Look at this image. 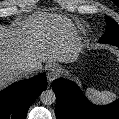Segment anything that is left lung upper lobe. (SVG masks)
Segmentation results:
<instances>
[{"label": "left lung upper lobe", "instance_id": "left-lung-upper-lobe-1", "mask_svg": "<svg viewBox=\"0 0 119 119\" xmlns=\"http://www.w3.org/2000/svg\"><path fill=\"white\" fill-rule=\"evenodd\" d=\"M105 19L107 24V30L99 41L102 43H110V44H114V42H119L118 24L108 16H106Z\"/></svg>", "mask_w": 119, "mask_h": 119}]
</instances>
